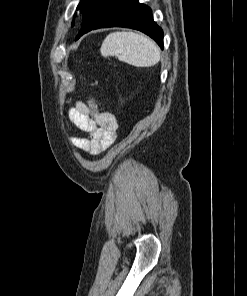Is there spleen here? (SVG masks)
Returning <instances> with one entry per match:
<instances>
[{
  "mask_svg": "<svg viewBox=\"0 0 247 296\" xmlns=\"http://www.w3.org/2000/svg\"><path fill=\"white\" fill-rule=\"evenodd\" d=\"M103 57H117L135 67H151L160 61L156 43L145 35L134 32H113L100 48Z\"/></svg>",
  "mask_w": 247,
  "mask_h": 296,
  "instance_id": "obj_1",
  "label": "spleen"
}]
</instances>
